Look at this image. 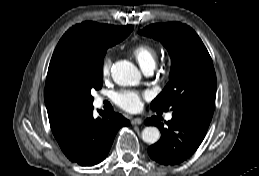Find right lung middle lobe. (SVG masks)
Masks as SVG:
<instances>
[{"instance_id": "dd1d6c3e", "label": "right lung middle lobe", "mask_w": 259, "mask_h": 176, "mask_svg": "<svg viewBox=\"0 0 259 176\" xmlns=\"http://www.w3.org/2000/svg\"><path fill=\"white\" fill-rule=\"evenodd\" d=\"M121 40H92L83 34H75L63 48V65L90 107L94 100L91 91L102 87L103 60L106 51Z\"/></svg>"}]
</instances>
